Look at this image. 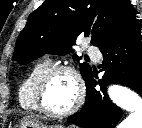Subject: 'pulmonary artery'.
Returning a JSON list of instances; mask_svg holds the SVG:
<instances>
[{
  "label": "pulmonary artery",
  "instance_id": "e3ab8cb5",
  "mask_svg": "<svg viewBox=\"0 0 142 128\" xmlns=\"http://www.w3.org/2000/svg\"><path fill=\"white\" fill-rule=\"evenodd\" d=\"M88 54L95 60H99L101 57L100 51L94 46L87 47Z\"/></svg>",
  "mask_w": 142,
  "mask_h": 128
}]
</instances>
